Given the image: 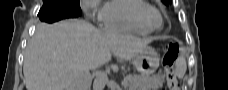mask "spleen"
Returning a JSON list of instances; mask_svg holds the SVG:
<instances>
[{
  "label": "spleen",
  "instance_id": "obj_1",
  "mask_svg": "<svg viewBox=\"0 0 228 90\" xmlns=\"http://www.w3.org/2000/svg\"><path fill=\"white\" fill-rule=\"evenodd\" d=\"M187 70V64L184 57H180L176 61V75L179 79L183 78Z\"/></svg>",
  "mask_w": 228,
  "mask_h": 90
}]
</instances>
